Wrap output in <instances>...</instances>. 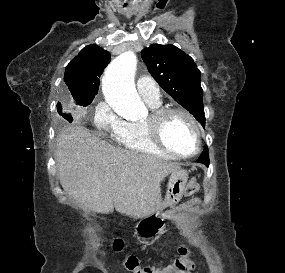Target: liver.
<instances>
[{
  "mask_svg": "<svg viewBox=\"0 0 285 273\" xmlns=\"http://www.w3.org/2000/svg\"><path fill=\"white\" fill-rule=\"evenodd\" d=\"M55 160L62 188L82 206L102 214L115 208L135 219L162 208L160 183L180 169L177 163L115 147L83 126L59 133Z\"/></svg>",
  "mask_w": 285,
  "mask_h": 273,
  "instance_id": "obj_1",
  "label": "liver"
}]
</instances>
